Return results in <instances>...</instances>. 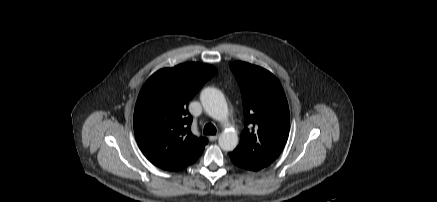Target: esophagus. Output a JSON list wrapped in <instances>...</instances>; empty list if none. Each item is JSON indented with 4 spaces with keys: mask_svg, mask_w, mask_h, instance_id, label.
Wrapping results in <instances>:
<instances>
[{
    "mask_svg": "<svg viewBox=\"0 0 437 202\" xmlns=\"http://www.w3.org/2000/svg\"><path fill=\"white\" fill-rule=\"evenodd\" d=\"M219 135H211L209 137L210 141H216L218 139Z\"/></svg>",
    "mask_w": 437,
    "mask_h": 202,
    "instance_id": "obj_1",
    "label": "esophagus"
}]
</instances>
